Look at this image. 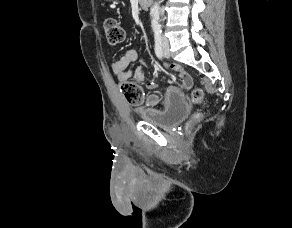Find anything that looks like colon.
Returning <instances> with one entry per match:
<instances>
[{
  "label": "colon",
  "mask_w": 292,
  "mask_h": 228,
  "mask_svg": "<svg viewBox=\"0 0 292 228\" xmlns=\"http://www.w3.org/2000/svg\"><path fill=\"white\" fill-rule=\"evenodd\" d=\"M104 33L105 37L111 45H117L125 39V31L120 22L115 18H107L104 21ZM120 91L125 100L133 105H139L142 101L143 92L140 86L131 79L120 81ZM191 99L195 103H202L204 100L203 90L200 88H194L191 91ZM201 117L200 113L193 116V121L198 120Z\"/></svg>",
  "instance_id": "colon-1"
}]
</instances>
